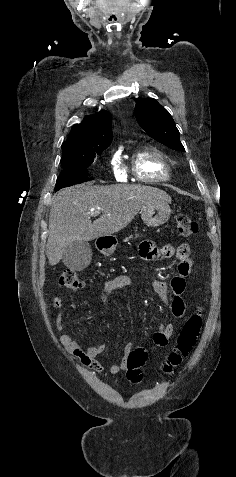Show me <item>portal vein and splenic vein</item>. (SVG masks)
<instances>
[{
	"label": "portal vein and splenic vein",
	"mask_w": 236,
	"mask_h": 477,
	"mask_svg": "<svg viewBox=\"0 0 236 477\" xmlns=\"http://www.w3.org/2000/svg\"><path fill=\"white\" fill-rule=\"evenodd\" d=\"M99 214H100L99 211H97V212H91V213H90L91 216H98Z\"/></svg>",
	"instance_id": "18ae733b"
}]
</instances>
